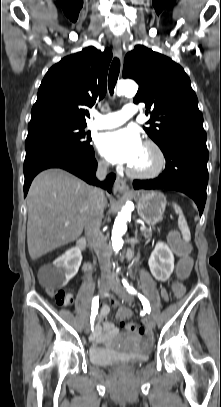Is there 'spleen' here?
I'll return each instance as SVG.
<instances>
[{"instance_id": "3e777b00", "label": "spleen", "mask_w": 221, "mask_h": 407, "mask_svg": "<svg viewBox=\"0 0 221 407\" xmlns=\"http://www.w3.org/2000/svg\"><path fill=\"white\" fill-rule=\"evenodd\" d=\"M175 212L179 215L178 227L182 233L183 239L188 242L191 239L190 230L181 208L177 204H173Z\"/></svg>"}]
</instances>
